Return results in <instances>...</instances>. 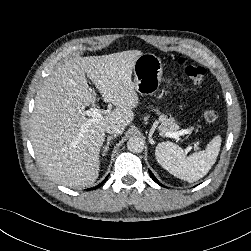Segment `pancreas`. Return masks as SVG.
Listing matches in <instances>:
<instances>
[{"instance_id": "obj_1", "label": "pancreas", "mask_w": 251, "mask_h": 251, "mask_svg": "<svg viewBox=\"0 0 251 251\" xmlns=\"http://www.w3.org/2000/svg\"><path fill=\"white\" fill-rule=\"evenodd\" d=\"M161 118H162L163 122H162V125L159 127V129L162 132L173 133L179 129V126L174 122L173 119H167L164 116H161Z\"/></svg>"}]
</instances>
